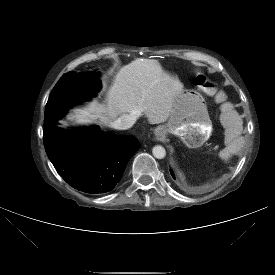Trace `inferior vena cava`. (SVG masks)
<instances>
[{
	"label": "inferior vena cava",
	"mask_w": 275,
	"mask_h": 275,
	"mask_svg": "<svg viewBox=\"0 0 275 275\" xmlns=\"http://www.w3.org/2000/svg\"><path fill=\"white\" fill-rule=\"evenodd\" d=\"M136 121V116L133 114H123L112 123V127L119 130H127L131 128Z\"/></svg>",
	"instance_id": "obj_1"
}]
</instances>
